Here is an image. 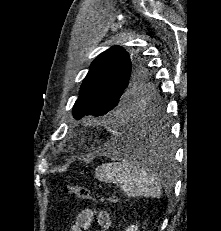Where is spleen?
I'll list each match as a JSON object with an SVG mask.
<instances>
[{
  "label": "spleen",
  "mask_w": 221,
  "mask_h": 231,
  "mask_svg": "<svg viewBox=\"0 0 221 231\" xmlns=\"http://www.w3.org/2000/svg\"><path fill=\"white\" fill-rule=\"evenodd\" d=\"M96 176L101 181L120 185L128 196L152 198L161 196V186L155 174L129 159L102 164L96 169Z\"/></svg>",
  "instance_id": "spleen-1"
}]
</instances>
